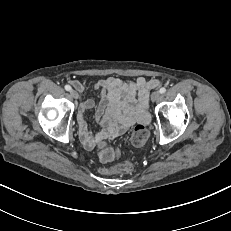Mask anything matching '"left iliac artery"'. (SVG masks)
<instances>
[{"instance_id":"1","label":"left iliac artery","mask_w":231,"mask_h":231,"mask_svg":"<svg viewBox=\"0 0 231 231\" xmlns=\"http://www.w3.org/2000/svg\"><path fill=\"white\" fill-rule=\"evenodd\" d=\"M159 92H160L161 94L165 93V92H166V88H165V87L160 88Z\"/></svg>"}]
</instances>
